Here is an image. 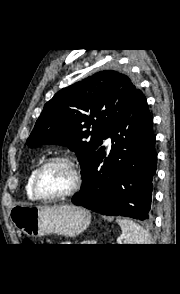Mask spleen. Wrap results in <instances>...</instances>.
I'll return each mask as SVG.
<instances>
[{
	"instance_id": "spleen-1",
	"label": "spleen",
	"mask_w": 180,
	"mask_h": 294,
	"mask_svg": "<svg viewBox=\"0 0 180 294\" xmlns=\"http://www.w3.org/2000/svg\"><path fill=\"white\" fill-rule=\"evenodd\" d=\"M116 221L125 235L123 244H150L148 232L139 224L130 219L117 218Z\"/></svg>"
}]
</instances>
